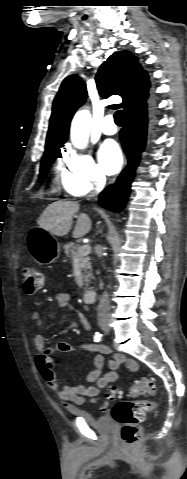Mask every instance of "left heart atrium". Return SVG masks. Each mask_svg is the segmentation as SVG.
Listing matches in <instances>:
<instances>
[{"label": "left heart atrium", "instance_id": "obj_1", "mask_svg": "<svg viewBox=\"0 0 187 479\" xmlns=\"http://www.w3.org/2000/svg\"><path fill=\"white\" fill-rule=\"evenodd\" d=\"M100 163L108 174L117 173L123 164V157L118 145L114 142L104 143L99 150Z\"/></svg>", "mask_w": 187, "mask_h": 479}]
</instances>
